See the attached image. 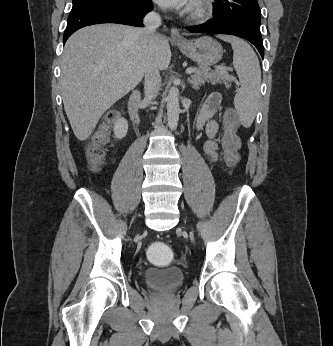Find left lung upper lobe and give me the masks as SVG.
<instances>
[{"label": "left lung upper lobe", "mask_w": 333, "mask_h": 346, "mask_svg": "<svg viewBox=\"0 0 333 346\" xmlns=\"http://www.w3.org/2000/svg\"><path fill=\"white\" fill-rule=\"evenodd\" d=\"M214 18L239 20L260 29L261 12L257 0H215Z\"/></svg>", "instance_id": "5c2ea615"}]
</instances>
